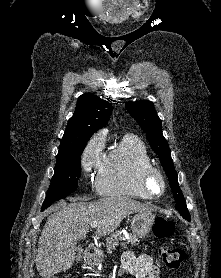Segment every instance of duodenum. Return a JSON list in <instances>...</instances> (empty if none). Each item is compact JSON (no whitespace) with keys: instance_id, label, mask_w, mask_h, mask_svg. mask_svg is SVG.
<instances>
[{"instance_id":"410a0bca","label":"duodenum","mask_w":221,"mask_h":278,"mask_svg":"<svg viewBox=\"0 0 221 278\" xmlns=\"http://www.w3.org/2000/svg\"><path fill=\"white\" fill-rule=\"evenodd\" d=\"M98 253V249L95 245L90 244L86 247L85 254L86 259L91 264L94 259H96V254Z\"/></svg>"}]
</instances>
